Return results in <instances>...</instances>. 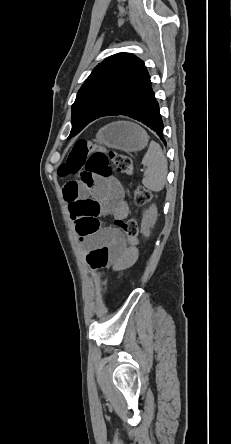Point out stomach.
<instances>
[{
	"label": "stomach",
	"mask_w": 231,
	"mask_h": 444,
	"mask_svg": "<svg viewBox=\"0 0 231 444\" xmlns=\"http://www.w3.org/2000/svg\"><path fill=\"white\" fill-rule=\"evenodd\" d=\"M148 139L147 133L140 126L120 121L100 129L95 141L108 148L124 152H137L148 144Z\"/></svg>",
	"instance_id": "1"
}]
</instances>
